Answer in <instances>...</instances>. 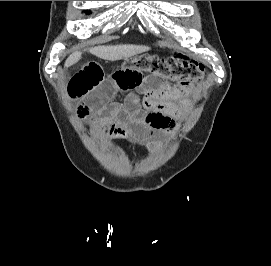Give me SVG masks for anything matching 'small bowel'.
Listing matches in <instances>:
<instances>
[{
    "label": "small bowel",
    "instance_id": "small-bowel-1",
    "mask_svg": "<svg viewBox=\"0 0 271 266\" xmlns=\"http://www.w3.org/2000/svg\"><path fill=\"white\" fill-rule=\"evenodd\" d=\"M67 90L77 117L112 139L149 142L155 132L175 128L192 108L189 90L134 67L106 75L101 65L88 63L71 76ZM124 92L125 100L117 101Z\"/></svg>",
    "mask_w": 271,
    "mask_h": 266
}]
</instances>
